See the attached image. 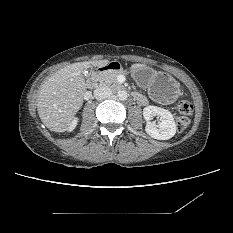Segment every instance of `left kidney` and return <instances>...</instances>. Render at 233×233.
I'll return each instance as SVG.
<instances>
[{"label": "left kidney", "instance_id": "left-kidney-1", "mask_svg": "<svg viewBox=\"0 0 233 233\" xmlns=\"http://www.w3.org/2000/svg\"><path fill=\"white\" fill-rule=\"evenodd\" d=\"M159 116L161 122L156 125L151 120ZM143 117L146 120V133L157 140H168L176 133V124L172 113L157 106H146L143 109Z\"/></svg>", "mask_w": 233, "mask_h": 233}]
</instances>
